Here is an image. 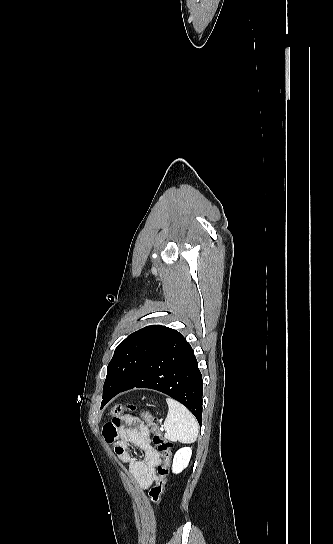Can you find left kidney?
I'll use <instances>...</instances> for the list:
<instances>
[{
  "label": "left kidney",
  "instance_id": "obj_1",
  "mask_svg": "<svg viewBox=\"0 0 333 544\" xmlns=\"http://www.w3.org/2000/svg\"><path fill=\"white\" fill-rule=\"evenodd\" d=\"M192 455V449L190 447H183L179 449L173 458L172 472L180 473L189 464Z\"/></svg>",
  "mask_w": 333,
  "mask_h": 544
}]
</instances>
